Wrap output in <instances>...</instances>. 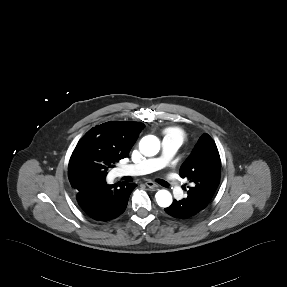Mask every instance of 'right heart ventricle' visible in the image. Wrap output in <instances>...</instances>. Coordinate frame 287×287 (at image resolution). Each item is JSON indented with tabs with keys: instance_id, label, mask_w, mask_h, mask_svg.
<instances>
[{
	"instance_id": "1",
	"label": "right heart ventricle",
	"mask_w": 287,
	"mask_h": 287,
	"mask_svg": "<svg viewBox=\"0 0 287 287\" xmlns=\"http://www.w3.org/2000/svg\"><path fill=\"white\" fill-rule=\"evenodd\" d=\"M171 135H174V136H177L179 137L180 139H182V136L179 134V132L177 131H174V132H169Z\"/></svg>"
}]
</instances>
